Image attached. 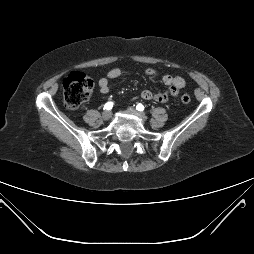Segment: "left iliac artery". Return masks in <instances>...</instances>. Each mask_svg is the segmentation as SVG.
<instances>
[{
  "label": "left iliac artery",
  "mask_w": 254,
  "mask_h": 254,
  "mask_svg": "<svg viewBox=\"0 0 254 254\" xmlns=\"http://www.w3.org/2000/svg\"><path fill=\"white\" fill-rule=\"evenodd\" d=\"M136 109H137L138 111H143V110H144V105H142L141 103H139V104H137Z\"/></svg>",
  "instance_id": "obj_1"
}]
</instances>
